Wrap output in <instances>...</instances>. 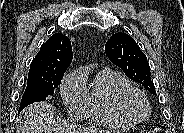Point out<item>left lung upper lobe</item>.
Listing matches in <instances>:
<instances>
[{"label":"left lung upper lobe","mask_w":184,"mask_h":133,"mask_svg":"<svg viewBox=\"0 0 184 133\" xmlns=\"http://www.w3.org/2000/svg\"><path fill=\"white\" fill-rule=\"evenodd\" d=\"M105 53L127 77L156 94L147 57L131 36L123 32L112 35L105 45Z\"/></svg>","instance_id":"obj_1"}]
</instances>
